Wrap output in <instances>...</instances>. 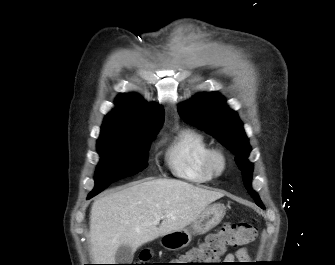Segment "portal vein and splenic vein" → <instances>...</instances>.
<instances>
[{
    "instance_id": "obj_1",
    "label": "portal vein and splenic vein",
    "mask_w": 335,
    "mask_h": 265,
    "mask_svg": "<svg viewBox=\"0 0 335 265\" xmlns=\"http://www.w3.org/2000/svg\"><path fill=\"white\" fill-rule=\"evenodd\" d=\"M160 219H161V217H159V216L156 217L157 222L160 221Z\"/></svg>"
}]
</instances>
